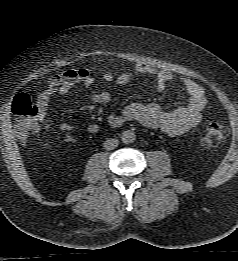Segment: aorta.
I'll use <instances>...</instances> for the list:
<instances>
[{"mask_svg":"<svg viewBox=\"0 0 238 261\" xmlns=\"http://www.w3.org/2000/svg\"><path fill=\"white\" fill-rule=\"evenodd\" d=\"M135 138H136V135L131 130L123 131L122 136H121L122 142L125 144L133 143Z\"/></svg>","mask_w":238,"mask_h":261,"instance_id":"aorta-1","label":"aorta"}]
</instances>
